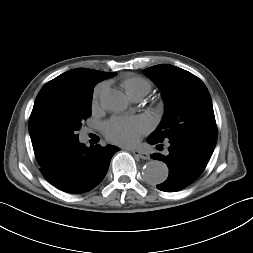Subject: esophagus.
Wrapping results in <instances>:
<instances>
[{
	"instance_id": "esophagus-1",
	"label": "esophagus",
	"mask_w": 253,
	"mask_h": 253,
	"mask_svg": "<svg viewBox=\"0 0 253 253\" xmlns=\"http://www.w3.org/2000/svg\"><path fill=\"white\" fill-rule=\"evenodd\" d=\"M132 153L137 156L140 157L141 159H149V154L147 152H145L144 150L141 149H134L132 150Z\"/></svg>"
}]
</instances>
